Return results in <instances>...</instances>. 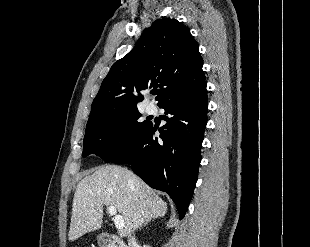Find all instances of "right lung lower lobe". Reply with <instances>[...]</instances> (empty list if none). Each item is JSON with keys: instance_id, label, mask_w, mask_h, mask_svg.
Wrapping results in <instances>:
<instances>
[{"instance_id": "obj_1", "label": "right lung lower lobe", "mask_w": 310, "mask_h": 247, "mask_svg": "<svg viewBox=\"0 0 310 247\" xmlns=\"http://www.w3.org/2000/svg\"><path fill=\"white\" fill-rule=\"evenodd\" d=\"M206 81L177 94L159 107L166 124L154 136L152 123L135 143L112 163H127L150 187L169 194L179 219L185 216L198 176L201 144L207 123Z\"/></svg>"}]
</instances>
